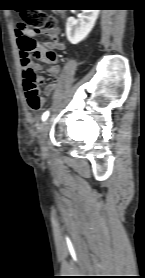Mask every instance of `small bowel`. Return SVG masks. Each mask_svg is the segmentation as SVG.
<instances>
[{"label": "small bowel", "instance_id": "1", "mask_svg": "<svg viewBox=\"0 0 145 278\" xmlns=\"http://www.w3.org/2000/svg\"><path fill=\"white\" fill-rule=\"evenodd\" d=\"M39 34L45 35L50 37L53 42H47L41 45L42 48L44 49H53V50H63L65 48V43L63 39L60 37V30L58 28L53 29L52 31H42V32H37V31H32L30 29L25 30L22 34H16L17 36V41L20 46V41L23 37H31L35 38ZM21 58H22V67L23 71L30 66L31 69L35 71H40L42 70V66L40 63H31V59H29L25 53H21ZM40 60L46 64H48V73L50 76L53 77V80L45 87L44 91H49L52 90L53 88H56L59 78L58 75L60 73V67L59 65L55 62H49L43 55L40 56ZM40 79V82L43 81L42 76H38Z\"/></svg>", "mask_w": 145, "mask_h": 278}]
</instances>
